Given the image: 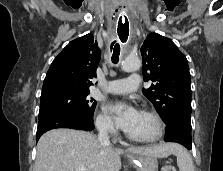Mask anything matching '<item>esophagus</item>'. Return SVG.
Returning <instances> with one entry per match:
<instances>
[{
  "label": "esophagus",
  "instance_id": "obj_1",
  "mask_svg": "<svg viewBox=\"0 0 223 171\" xmlns=\"http://www.w3.org/2000/svg\"><path fill=\"white\" fill-rule=\"evenodd\" d=\"M117 25L116 31L119 35V39L125 42L127 39H130V31H132V21L128 13H117Z\"/></svg>",
  "mask_w": 223,
  "mask_h": 171
}]
</instances>
